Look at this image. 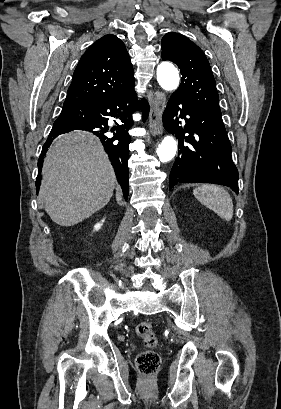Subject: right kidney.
Listing matches in <instances>:
<instances>
[{
  "label": "right kidney",
  "mask_w": 281,
  "mask_h": 409,
  "mask_svg": "<svg viewBox=\"0 0 281 409\" xmlns=\"http://www.w3.org/2000/svg\"><path fill=\"white\" fill-rule=\"evenodd\" d=\"M103 223H104V221H101V223H96V225H94V231H99V229H101Z\"/></svg>",
  "instance_id": "1"
}]
</instances>
